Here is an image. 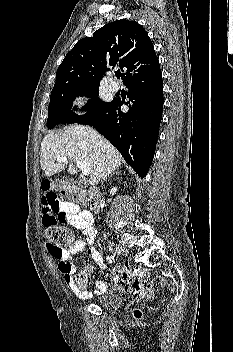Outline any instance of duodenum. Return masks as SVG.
Returning <instances> with one entry per match:
<instances>
[{
    "mask_svg": "<svg viewBox=\"0 0 233 352\" xmlns=\"http://www.w3.org/2000/svg\"><path fill=\"white\" fill-rule=\"evenodd\" d=\"M87 199H88L90 208L96 211L98 209V204L100 200L99 191L94 187L89 188L87 191Z\"/></svg>",
    "mask_w": 233,
    "mask_h": 352,
    "instance_id": "duodenum-1",
    "label": "duodenum"
}]
</instances>
